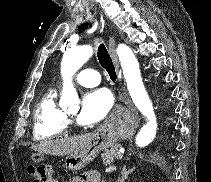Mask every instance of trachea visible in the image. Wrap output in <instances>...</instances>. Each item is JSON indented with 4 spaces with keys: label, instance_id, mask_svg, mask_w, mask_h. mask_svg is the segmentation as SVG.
Listing matches in <instances>:
<instances>
[{
    "label": "trachea",
    "instance_id": "trachea-1",
    "mask_svg": "<svg viewBox=\"0 0 211 182\" xmlns=\"http://www.w3.org/2000/svg\"><path fill=\"white\" fill-rule=\"evenodd\" d=\"M97 57L100 65L108 72L110 79L116 81L117 75L112 59L103 43L99 44Z\"/></svg>",
    "mask_w": 211,
    "mask_h": 182
}]
</instances>
